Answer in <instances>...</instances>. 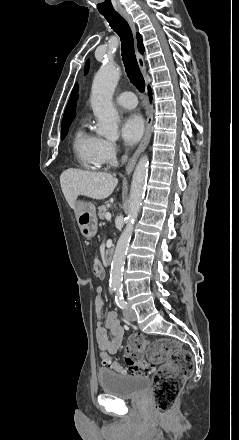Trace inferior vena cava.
I'll use <instances>...</instances> for the list:
<instances>
[{"instance_id": "inferior-vena-cava-1", "label": "inferior vena cava", "mask_w": 239, "mask_h": 440, "mask_svg": "<svg viewBox=\"0 0 239 440\" xmlns=\"http://www.w3.org/2000/svg\"><path fill=\"white\" fill-rule=\"evenodd\" d=\"M128 156H123V160H127Z\"/></svg>"}]
</instances>
